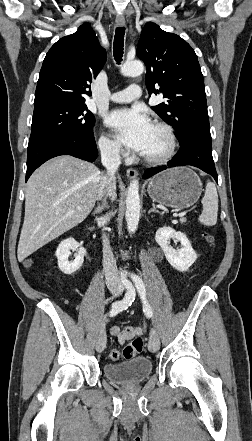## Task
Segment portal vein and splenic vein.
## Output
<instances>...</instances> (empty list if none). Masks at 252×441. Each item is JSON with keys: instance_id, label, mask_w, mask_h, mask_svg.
<instances>
[{"instance_id": "1", "label": "portal vein and splenic vein", "mask_w": 252, "mask_h": 441, "mask_svg": "<svg viewBox=\"0 0 252 441\" xmlns=\"http://www.w3.org/2000/svg\"><path fill=\"white\" fill-rule=\"evenodd\" d=\"M79 209V208H78ZM186 215V212H181V213H179L177 216L180 218V219H182V218H184V216Z\"/></svg>"}]
</instances>
